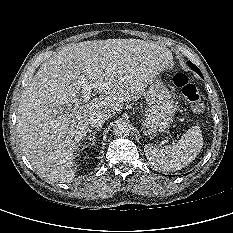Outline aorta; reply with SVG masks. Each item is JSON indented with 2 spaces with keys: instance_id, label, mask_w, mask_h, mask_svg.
<instances>
[{
  "instance_id": "762f6f07",
  "label": "aorta",
  "mask_w": 233,
  "mask_h": 233,
  "mask_svg": "<svg viewBox=\"0 0 233 233\" xmlns=\"http://www.w3.org/2000/svg\"><path fill=\"white\" fill-rule=\"evenodd\" d=\"M114 134L118 137H127L131 133V126L127 121H117L113 125Z\"/></svg>"
}]
</instances>
